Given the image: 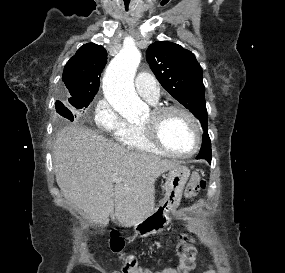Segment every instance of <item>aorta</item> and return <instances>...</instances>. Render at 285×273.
<instances>
[{
    "label": "aorta",
    "mask_w": 285,
    "mask_h": 273,
    "mask_svg": "<svg viewBox=\"0 0 285 273\" xmlns=\"http://www.w3.org/2000/svg\"><path fill=\"white\" fill-rule=\"evenodd\" d=\"M140 61L141 53L135 46L124 47L108 65L103 77V92L107 101L128 119L140 118L148 111L133 84Z\"/></svg>",
    "instance_id": "obj_1"
}]
</instances>
